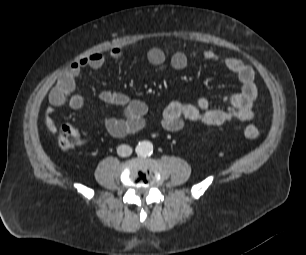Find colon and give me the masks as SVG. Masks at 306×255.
<instances>
[{"mask_svg":"<svg viewBox=\"0 0 306 255\" xmlns=\"http://www.w3.org/2000/svg\"><path fill=\"white\" fill-rule=\"evenodd\" d=\"M244 135L249 139H255L259 136V130L254 125H248L244 129ZM81 136L79 131L70 124L61 126L58 135V145L62 150H69L79 144Z\"/></svg>","mask_w":306,"mask_h":255,"instance_id":"1","label":"colon"}]
</instances>
